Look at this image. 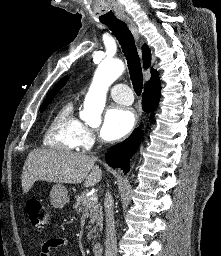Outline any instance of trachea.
<instances>
[{"label": "trachea", "instance_id": "1", "mask_svg": "<svg viewBox=\"0 0 221 256\" xmlns=\"http://www.w3.org/2000/svg\"><path fill=\"white\" fill-rule=\"evenodd\" d=\"M115 34L127 60L130 78L134 91L139 96L143 89V74L139 55L132 33L120 20L106 23Z\"/></svg>", "mask_w": 221, "mask_h": 256}]
</instances>
